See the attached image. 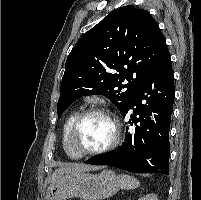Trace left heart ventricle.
I'll list each match as a JSON object with an SVG mask.
<instances>
[{"label": "left heart ventricle", "mask_w": 201, "mask_h": 200, "mask_svg": "<svg viewBox=\"0 0 201 200\" xmlns=\"http://www.w3.org/2000/svg\"><path fill=\"white\" fill-rule=\"evenodd\" d=\"M110 121L100 115L85 118L75 134V145L79 151H91L105 146L112 138Z\"/></svg>", "instance_id": "left-heart-ventricle-1"}]
</instances>
